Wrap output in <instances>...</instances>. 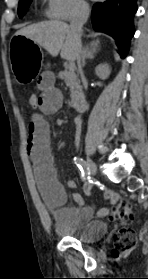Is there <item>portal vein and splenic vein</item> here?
Returning a JSON list of instances; mask_svg holds the SVG:
<instances>
[{
  "label": "portal vein and splenic vein",
  "instance_id": "portal-vein-and-splenic-vein-1",
  "mask_svg": "<svg viewBox=\"0 0 148 279\" xmlns=\"http://www.w3.org/2000/svg\"><path fill=\"white\" fill-rule=\"evenodd\" d=\"M75 70V64L74 63H69V71H74Z\"/></svg>",
  "mask_w": 148,
  "mask_h": 279
}]
</instances>
